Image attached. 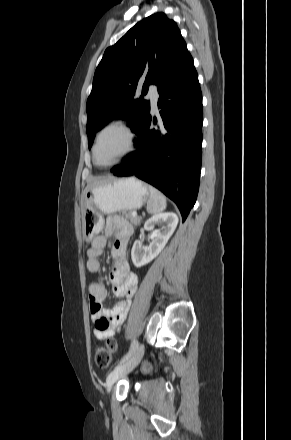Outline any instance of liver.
Here are the masks:
<instances>
[{
	"label": "liver",
	"mask_w": 291,
	"mask_h": 440,
	"mask_svg": "<svg viewBox=\"0 0 291 440\" xmlns=\"http://www.w3.org/2000/svg\"><path fill=\"white\" fill-rule=\"evenodd\" d=\"M106 181H108V180H102V181L96 182V183H94V184L88 186V187L86 188V190H87L88 188L94 186V185H97V184H100V183H104V182H106ZM86 190H85V191H86ZM85 191H84V192H85Z\"/></svg>",
	"instance_id": "1"
}]
</instances>
